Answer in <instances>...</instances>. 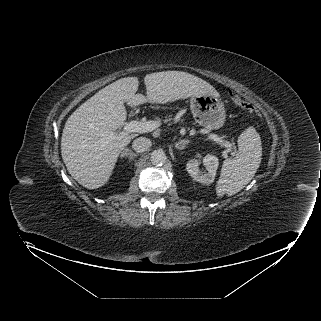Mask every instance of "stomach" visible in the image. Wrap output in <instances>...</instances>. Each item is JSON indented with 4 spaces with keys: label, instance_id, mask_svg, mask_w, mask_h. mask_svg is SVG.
I'll return each mask as SVG.
<instances>
[{
    "label": "stomach",
    "instance_id": "1",
    "mask_svg": "<svg viewBox=\"0 0 321 321\" xmlns=\"http://www.w3.org/2000/svg\"><path fill=\"white\" fill-rule=\"evenodd\" d=\"M190 107L194 119L206 129H219L223 126L226 111L223 102L214 95L193 96Z\"/></svg>",
    "mask_w": 321,
    "mask_h": 321
}]
</instances>
